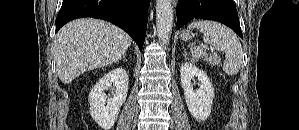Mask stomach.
<instances>
[{
    "mask_svg": "<svg viewBox=\"0 0 299 130\" xmlns=\"http://www.w3.org/2000/svg\"><path fill=\"white\" fill-rule=\"evenodd\" d=\"M182 35H185L187 39H191L194 36L190 31H183Z\"/></svg>",
    "mask_w": 299,
    "mask_h": 130,
    "instance_id": "obj_1",
    "label": "stomach"
}]
</instances>
